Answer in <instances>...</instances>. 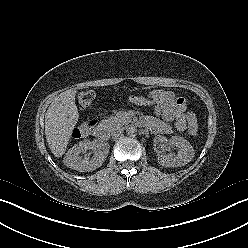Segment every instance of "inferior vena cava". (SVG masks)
Wrapping results in <instances>:
<instances>
[{
    "label": "inferior vena cava",
    "mask_w": 248,
    "mask_h": 248,
    "mask_svg": "<svg viewBox=\"0 0 248 248\" xmlns=\"http://www.w3.org/2000/svg\"><path fill=\"white\" fill-rule=\"evenodd\" d=\"M122 130H123V129H122L121 127L113 128V129L110 131V134H111L112 136H118V135L121 134Z\"/></svg>",
    "instance_id": "obj_1"
}]
</instances>
